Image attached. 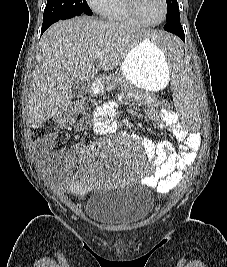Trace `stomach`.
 Returning a JSON list of instances; mask_svg holds the SVG:
<instances>
[{
    "mask_svg": "<svg viewBox=\"0 0 227 267\" xmlns=\"http://www.w3.org/2000/svg\"><path fill=\"white\" fill-rule=\"evenodd\" d=\"M120 71L126 81L134 86L158 91L169 82V65L166 55L151 39L139 42L126 56ZM104 90V85H96L94 93Z\"/></svg>",
    "mask_w": 227,
    "mask_h": 267,
    "instance_id": "0dacf381",
    "label": "stomach"
}]
</instances>
